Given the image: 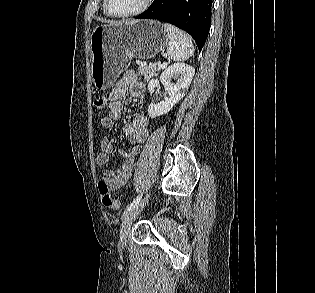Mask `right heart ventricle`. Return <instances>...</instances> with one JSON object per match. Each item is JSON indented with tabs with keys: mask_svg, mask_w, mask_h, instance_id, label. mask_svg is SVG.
<instances>
[{
	"mask_svg": "<svg viewBox=\"0 0 315 293\" xmlns=\"http://www.w3.org/2000/svg\"><path fill=\"white\" fill-rule=\"evenodd\" d=\"M102 10H103V13H104L105 15H108V16H109V14L107 13V11H106V9H105V6H104V0H103V2H102Z\"/></svg>",
	"mask_w": 315,
	"mask_h": 293,
	"instance_id": "e07e8e85",
	"label": "right heart ventricle"
}]
</instances>
